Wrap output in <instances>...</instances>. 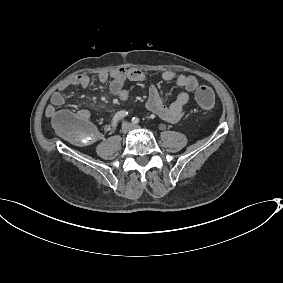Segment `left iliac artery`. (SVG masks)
Wrapping results in <instances>:
<instances>
[{"instance_id": "left-iliac-artery-1", "label": "left iliac artery", "mask_w": 283, "mask_h": 283, "mask_svg": "<svg viewBox=\"0 0 283 283\" xmlns=\"http://www.w3.org/2000/svg\"><path fill=\"white\" fill-rule=\"evenodd\" d=\"M139 121H140V120H139L138 117H133V118H132V123H133V124H138Z\"/></svg>"}]
</instances>
